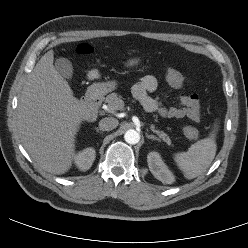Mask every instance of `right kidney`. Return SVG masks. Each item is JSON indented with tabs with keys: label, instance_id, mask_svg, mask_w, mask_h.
<instances>
[{
	"label": "right kidney",
	"instance_id": "ca27d5eb",
	"mask_svg": "<svg viewBox=\"0 0 248 248\" xmlns=\"http://www.w3.org/2000/svg\"><path fill=\"white\" fill-rule=\"evenodd\" d=\"M96 157L95 149L85 148L74 156V163L80 171H87L92 166Z\"/></svg>",
	"mask_w": 248,
	"mask_h": 248
}]
</instances>
